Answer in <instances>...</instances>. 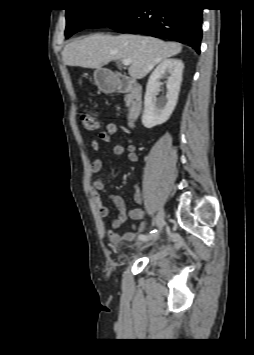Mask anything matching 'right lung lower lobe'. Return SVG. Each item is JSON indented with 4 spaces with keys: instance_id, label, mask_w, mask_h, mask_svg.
Masks as SVG:
<instances>
[{
    "instance_id": "1",
    "label": "right lung lower lobe",
    "mask_w": 254,
    "mask_h": 355,
    "mask_svg": "<svg viewBox=\"0 0 254 355\" xmlns=\"http://www.w3.org/2000/svg\"><path fill=\"white\" fill-rule=\"evenodd\" d=\"M107 27L122 33L172 39L200 53L202 8L199 0H143L128 6Z\"/></svg>"
}]
</instances>
